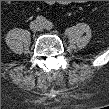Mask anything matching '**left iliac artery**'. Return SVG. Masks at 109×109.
<instances>
[{
    "label": "left iliac artery",
    "mask_w": 109,
    "mask_h": 109,
    "mask_svg": "<svg viewBox=\"0 0 109 109\" xmlns=\"http://www.w3.org/2000/svg\"><path fill=\"white\" fill-rule=\"evenodd\" d=\"M46 28L50 29L52 27V23L51 22H46Z\"/></svg>",
    "instance_id": "44dca946"
}]
</instances>
